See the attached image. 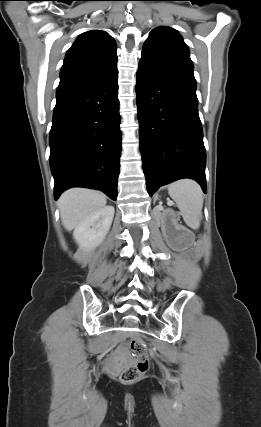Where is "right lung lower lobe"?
<instances>
[{
    "label": "right lung lower lobe",
    "instance_id": "obj_1",
    "mask_svg": "<svg viewBox=\"0 0 261 427\" xmlns=\"http://www.w3.org/2000/svg\"><path fill=\"white\" fill-rule=\"evenodd\" d=\"M118 71L57 94L50 131L54 195L88 187L117 199L121 154Z\"/></svg>",
    "mask_w": 261,
    "mask_h": 427
}]
</instances>
